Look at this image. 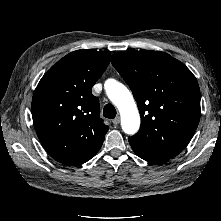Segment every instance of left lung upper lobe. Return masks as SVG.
I'll return each instance as SVG.
<instances>
[{"mask_svg":"<svg viewBox=\"0 0 221 221\" xmlns=\"http://www.w3.org/2000/svg\"><path fill=\"white\" fill-rule=\"evenodd\" d=\"M129 85L141 117L129 138L136 152L172 158L182 152L200 120V89L192 72L167 53L153 50L112 55Z\"/></svg>","mask_w":221,"mask_h":221,"instance_id":"5c2ea615","label":"left lung upper lobe"}]
</instances>
